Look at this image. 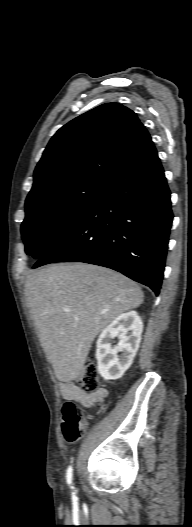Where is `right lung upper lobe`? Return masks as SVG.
Wrapping results in <instances>:
<instances>
[{
  "instance_id": "1",
  "label": "right lung upper lobe",
  "mask_w": 192,
  "mask_h": 527,
  "mask_svg": "<svg viewBox=\"0 0 192 527\" xmlns=\"http://www.w3.org/2000/svg\"><path fill=\"white\" fill-rule=\"evenodd\" d=\"M151 142L132 110L115 102L100 105L52 137L36 166L27 199L85 179L107 182Z\"/></svg>"
}]
</instances>
